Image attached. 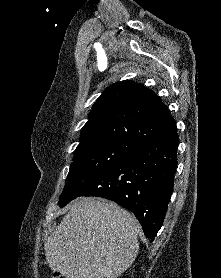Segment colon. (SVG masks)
Returning <instances> with one entry per match:
<instances>
[{"mask_svg": "<svg viewBox=\"0 0 221 278\" xmlns=\"http://www.w3.org/2000/svg\"><path fill=\"white\" fill-rule=\"evenodd\" d=\"M52 278H65L62 274H60V273H54L53 274V276H52Z\"/></svg>", "mask_w": 221, "mask_h": 278, "instance_id": "obj_1", "label": "colon"}]
</instances>
